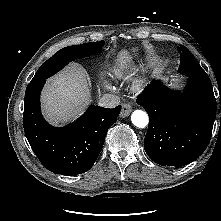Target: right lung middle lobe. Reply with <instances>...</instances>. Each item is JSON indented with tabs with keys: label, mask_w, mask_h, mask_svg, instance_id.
Instances as JSON below:
<instances>
[{
	"label": "right lung middle lobe",
	"mask_w": 221,
	"mask_h": 221,
	"mask_svg": "<svg viewBox=\"0 0 221 221\" xmlns=\"http://www.w3.org/2000/svg\"><path fill=\"white\" fill-rule=\"evenodd\" d=\"M103 45L104 41L90 42L80 45L68 46L59 50L50 59L41 65L31 82L47 79L74 59L88 57L100 52Z\"/></svg>",
	"instance_id": "1"
}]
</instances>
